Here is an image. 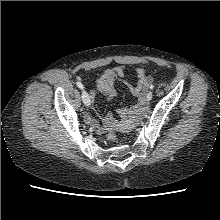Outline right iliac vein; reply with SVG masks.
<instances>
[{
    "label": "right iliac vein",
    "instance_id": "63e3f726",
    "mask_svg": "<svg viewBox=\"0 0 220 220\" xmlns=\"http://www.w3.org/2000/svg\"><path fill=\"white\" fill-rule=\"evenodd\" d=\"M82 101L86 106H89L91 104V98L86 91L82 92Z\"/></svg>",
    "mask_w": 220,
    "mask_h": 220
}]
</instances>
